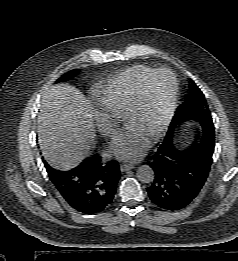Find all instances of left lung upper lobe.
Returning <instances> with one entry per match:
<instances>
[{
  "label": "left lung upper lobe",
  "instance_id": "1",
  "mask_svg": "<svg viewBox=\"0 0 238 261\" xmlns=\"http://www.w3.org/2000/svg\"><path fill=\"white\" fill-rule=\"evenodd\" d=\"M191 97L181 104L172 119L166 137L165 142L172 141L173 133L177 125L184 121L193 119L203 124L204 122L209 125H213L211 114L206 105L204 94L198 88V86L192 81L191 82Z\"/></svg>",
  "mask_w": 238,
  "mask_h": 261
}]
</instances>
